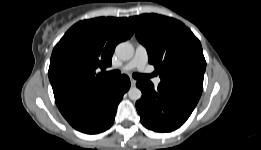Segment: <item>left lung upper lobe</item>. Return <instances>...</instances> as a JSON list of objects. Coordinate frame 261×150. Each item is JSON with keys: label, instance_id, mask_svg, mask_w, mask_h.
I'll return each mask as SVG.
<instances>
[{"label": "left lung upper lobe", "instance_id": "5c2ea615", "mask_svg": "<svg viewBox=\"0 0 261 150\" xmlns=\"http://www.w3.org/2000/svg\"><path fill=\"white\" fill-rule=\"evenodd\" d=\"M161 81H186L203 87L206 61L200 41L182 22L157 14L129 18Z\"/></svg>", "mask_w": 261, "mask_h": 150}]
</instances>
